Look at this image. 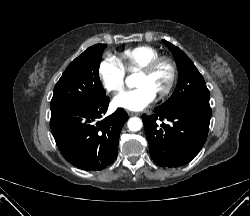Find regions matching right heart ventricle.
I'll use <instances>...</instances> for the list:
<instances>
[{"label":"right heart ventricle","mask_w":250,"mask_h":216,"mask_svg":"<svg viewBox=\"0 0 250 216\" xmlns=\"http://www.w3.org/2000/svg\"><path fill=\"white\" fill-rule=\"evenodd\" d=\"M158 53L155 49L148 46L136 47L126 52L127 69L129 71H137L148 65L156 59Z\"/></svg>","instance_id":"e07e8e85"}]
</instances>
